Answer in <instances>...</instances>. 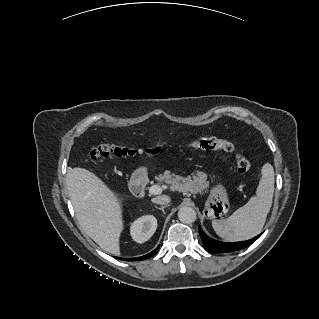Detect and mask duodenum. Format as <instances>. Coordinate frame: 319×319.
Masks as SVG:
<instances>
[{
    "mask_svg": "<svg viewBox=\"0 0 319 319\" xmlns=\"http://www.w3.org/2000/svg\"><path fill=\"white\" fill-rule=\"evenodd\" d=\"M133 191L136 195L142 196L145 193V187L143 185H136Z\"/></svg>",
    "mask_w": 319,
    "mask_h": 319,
    "instance_id": "duodenum-1",
    "label": "duodenum"
}]
</instances>
